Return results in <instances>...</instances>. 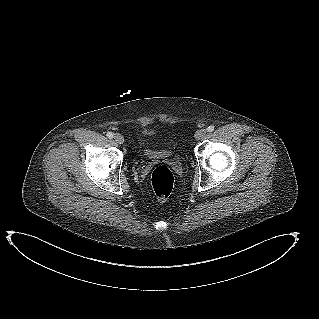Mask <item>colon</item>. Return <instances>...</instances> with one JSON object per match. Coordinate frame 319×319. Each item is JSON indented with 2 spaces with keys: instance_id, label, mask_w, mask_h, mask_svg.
<instances>
[{
  "instance_id": "obj_1",
  "label": "colon",
  "mask_w": 319,
  "mask_h": 319,
  "mask_svg": "<svg viewBox=\"0 0 319 319\" xmlns=\"http://www.w3.org/2000/svg\"><path fill=\"white\" fill-rule=\"evenodd\" d=\"M151 185L157 198L166 200L174 187L173 172L165 165L157 166L151 174Z\"/></svg>"
}]
</instances>
